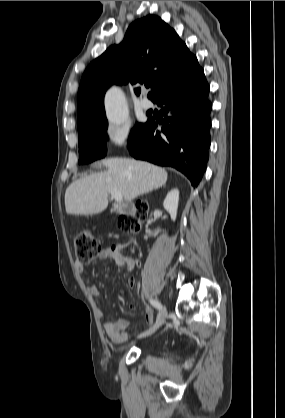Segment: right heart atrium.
I'll use <instances>...</instances> for the list:
<instances>
[{"instance_id": "1", "label": "right heart atrium", "mask_w": 285, "mask_h": 418, "mask_svg": "<svg viewBox=\"0 0 285 418\" xmlns=\"http://www.w3.org/2000/svg\"><path fill=\"white\" fill-rule=\"evenodd\" d=\"M105 144L110 150H120L132 141V133L128 126L109 125L105 130Z\"/></svg>"}]
</instances>
